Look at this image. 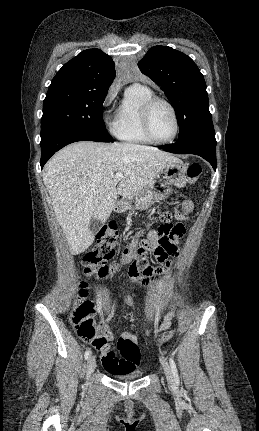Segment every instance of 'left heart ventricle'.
<instances>
[{"mask_svg":"<svg viewBox=\"0 0 259 431\" xmlns=\"http://www.w3.org/2000/svg\"><path fill=\"white\" fill-rule=\"evenodd\" d=\"M174 128V119L170 109L165 104H157L151 114L153 135L159 140H166L172 136Z\"/></svg>","mask_w":259,"mask_h":431,"instance_id":"left-heart-ventricle-1","label":"left heart ventricle"}]
</instances>
